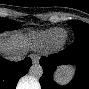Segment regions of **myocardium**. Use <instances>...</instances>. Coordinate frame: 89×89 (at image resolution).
Returning <instances> with one entry per match:
<instances>
[{
  "instance_id": "myocardium-1",
  "label": "myocardium",
  "mask_w": 89,
  "mask_h": 89,
  "mask_svg": "<svg viewBox=\"0 0 89 89\" xmlns=\"http://www.w3.org/2000/svg\"><path fill=\"white\" fill-rule=\"evenodd\" d=\"M66 40V34L63 36V38L57 42L56 46H61L65 43Z\"/></svg>"
}]
</instances>
